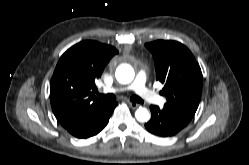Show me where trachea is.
<instances>
[{
    "label": "trachea",
    "mask_w": 249,
    "mask_h": 165,
    "mask_svg": "<svg viewBox=\"0 0 249 165\" xmlns=\"http://www.w3.org/2000/svg\"><path fill=\"white\" fill-rule=\"evenodd\" d=\"M99 96L106 100V101H115L116 100V96L114 94H106V95H103V94H99ZM130 100L132 102H136V103H143L144 101L138 97L137 95H133L130 97Z\"/></svg>",
    "instance_id": "3493384b"
}]
</instances>
